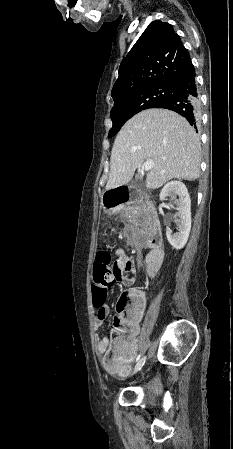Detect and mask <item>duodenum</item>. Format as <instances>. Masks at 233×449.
<instances>
[{"label": "duodenum", "instance_id": "obj_1", "mask_svg": "<svg viewBox=\"0 0 233 449\" xmlns=\"http://www.w3.org/2000/svg\"><path fill=\"white\" fill-rule=\"evenodd\" d=\"M103 206H134L143 208L140 215L143 230L146 234L150 252L147 256V272L158 271L163 258L162 237L156 212L151 198L138 192L133 186H109V191L103 192Z\"/></svg>", "mask_w": 233, "mask_h": 449}]
</instances>
